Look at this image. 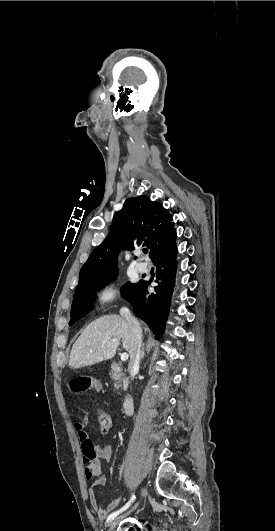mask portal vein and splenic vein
Instances as JSON below:
<instances>
[{"instance_id":"portal-vein-and-splenic-vein-1","label":"portal vein and splenic vein","mask_w":275,"mask_h":531,"mask_svg":"<svg viewBox=\"0 0 275 531\" xmlns=\"http://www.w3.org/2000/svg\"><path fill=\"white\" fill-rule=\"evenodd\" d=\"M117 339H113V343H116ZM129 355H127V353H122L120 359L121 361H127Z\"/></svg>"}]
</instances>
